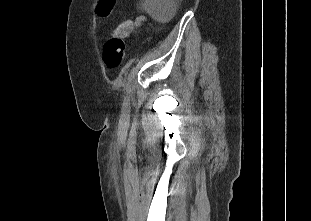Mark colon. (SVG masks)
I'll list each match as a JSON object with an SVG mask.
<instances>
[{"label": "colon", "instance_id": "colon-1", "mask_svg": "<svg viewBox=\"0 0 311 221\" xmlns=\"http://www.w3.org/2000/svg\"><path fill=\"white\" fill-rule=\"evenodd\" d=\"M114 2L115 0H102L99 6H95V17L106 20L108 18V11L106 9H113ZM132 27V21L120 23L115 29L114 36L105 43L103 47V59L107 67L115 69L122 62L125 51V38L129 36ZM119 36H124L122 41L118 40Z\"/></svg>", "mask_w": 311, "mask_h": 221}]
</instances>
